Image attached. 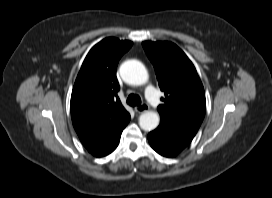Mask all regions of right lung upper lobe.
<instances>
[{
  "label": "right lung upper lobe",
  "mask_w": 272,
  "mask_h": 198,
  "mask_svg": "<svg viewBox=\"0 0 272 198\" xmlns=\"http://www.w3.org/2000/svg\"><path fill=\"white\" fill-rule=\"evenodd\" d=\"M132 42L105 38L86 56L71 95V118L87 148L103 139L129 113L121 104L116 68Z\"/></svg>",
  "instance_id": "cb5924a9"
}]
</instances>
